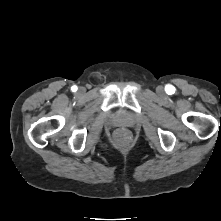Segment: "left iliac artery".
I'll use <instances>...</instances> for the list:
<instances>
[{"mask_svg":"<svg viewBox=\"0 0 221 221\" xmlns=\"http://www.w3.org/2000/svg\"><path fill=\"white\" fill-rule=\"evenodd\" d=\"M166 91L168 94H172V93H174V87L172 85H167Z\"/></svg>","mask_w":221,"mask_h":221,"instance_id":"left-iliac-artery-1","label":"left iliac artery"}]
</instances>
